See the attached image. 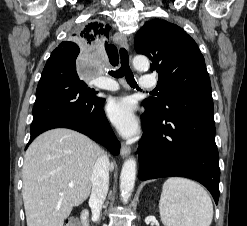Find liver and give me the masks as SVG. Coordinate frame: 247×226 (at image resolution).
Returning a JSON list of instances; mask_svg holds the SVG:
<instances>
[{"mask_svg":"<svg viewBox=\"0 0 247 226\" xmlns=\"http://www.w3.org/2000/svg\"><path fill=\"white\" fill-rule=\"evenodd\" d=\"M102 154L91 139L70 129L37 137L25 153L22 171L27 226H63L73 207L88 198Z\"/></svg>","mask_w":247,"mask_h":226,"instance_id":"liver-1","label":"liver"}]
</instances>
